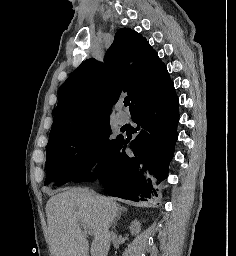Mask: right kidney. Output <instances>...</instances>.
<instances>
[{"label": "right kidney", "mask_w": 236, "mask_h": 256, "mask_svg": "<svg viewBox=\"0 0 236 256\" xmlns=\"http://www.w3.org/2000/svg\"><path fill=\"white\" fill-rule=\"evenodd\" d=\"M131 234H134V236H137L141 230L140 222H137V220H134V222H131V226L129 228Z\"/></svg>", "instance_id": "obj_1"}]
</instances>
